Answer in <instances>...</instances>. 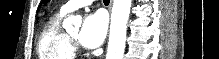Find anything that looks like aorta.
<instances>
[{"label":"aorta","instance_id":"obj_1","mask_svg":"<svg viewBox=\"0 0 219 59\" xmlns=\"http://www.w3.org/2000/svg\"><path fill=\"white\" fill-rule=\"evenodd\" d=\"M131 2L132 0L113 1L106 59H123ZM76 22L75 16H69L64 20L63 26L68 27Z\"/></svg>","mask_w":219,"mask_h":59}]
</instances>
